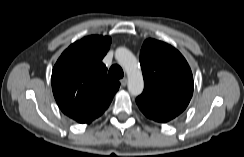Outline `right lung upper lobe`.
Here are the masks:
<instances>
[{
  "instance_id": "right-lung-upper-lobe-1",
  "label": "right lung upper lobe",
  "mask_w": 244,
  "mask_h": 157,
  "mask_svg": "<svg viewBox=\"0 0 244 157\" xmlns=\"http://www.w3.org/2000/svg\"><path fill=\"white\" fill-rule=\"evenodd\" d=\"M111 38L88 36L71 44L52 71V90L61 111L79 123H90L110 105L120 83L107 76L101 62Z\"/></svg>"
}]
</instances>
